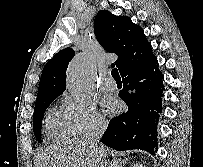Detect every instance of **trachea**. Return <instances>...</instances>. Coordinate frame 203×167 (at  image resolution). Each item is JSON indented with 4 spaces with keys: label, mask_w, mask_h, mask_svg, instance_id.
I'll use <instances>...</instances> for the list:
<instances>
[{
    "label": "trachea",
    "mask_w": 203,
    "mask_h": 167,
    "mask_svg": "<svg viewBox=\"0 0 203 167\" xmlns=\"http://www.w3.org/2000/svg\"><path fill=\"white\" fill-rule=\"evenodd\" d=\"M112 77L117 81V80H121V77L119 75V72L117 70V68L112 69L111 71Z\"/></svg>",
    "instance_id": "trachea-1"
}]
</instances>
